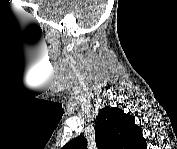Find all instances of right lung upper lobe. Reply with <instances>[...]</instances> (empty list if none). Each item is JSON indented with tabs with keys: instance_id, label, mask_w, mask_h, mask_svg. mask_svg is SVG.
<instances>
[{
	"instance_id": "right-lung-upper-lobe-1",
	"label": "right lung upper lobe",
	"mask_w": 177,
	"mask_h": 149,
	"mask_svg": "<svg viewBox=\"0 0 177 149\" xmlns=\"http://www.w3.org/2000/svg\"><path fill=\"white\" fill-rule=\"evenodd\" d=\"M95 140L98 149H140L146 144L140 127L134 122V117L117 107H105L99 111ZM63 148L87 149V140L83 136H78Z\"/></svg>"
}]
</instances>
